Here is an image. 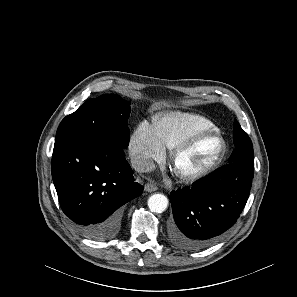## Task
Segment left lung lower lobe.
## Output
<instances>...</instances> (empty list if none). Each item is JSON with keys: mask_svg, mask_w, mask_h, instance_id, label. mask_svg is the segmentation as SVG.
Returning <instances> with one entry per match:
<instances>
[{"mask_svg": "<svg viewBox=\"0 0 297 297\" xmlns=\"http://www.w3.org/2000/svg\"><path fill=\"white\" fill-rule=\"evenodd\" d=\"M253 173L252 162L227 164L191 187L173 191L171 242L185 250H199L219 239L244 209Z\"/></svg>", "mask_w": 297, "mask_h": 297, "instance_id": "obj_1", "label": "left lung lower lobe"}]
</instances>
